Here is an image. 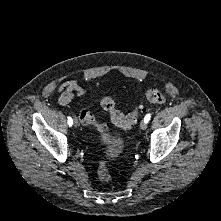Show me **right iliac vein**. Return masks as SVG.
I'll return each mask as SVG.
<instances>
[{
    "label": "right iliac vein",
    "mask_w": 221,
    "mask_h": 221,
    "mask_svg": "<svg viewBox=\"0 0 221 221\" xmlns=\"http://www.w3.org/2000/svg\"><path fill=\"white\" fill-rule=\"evenodd\" d=\"M73 124H74V126H78V121L76 118L73 119Z\"/></svg>",
    "instance_id": "right-iliac-vein-1"
}]
</instances>
